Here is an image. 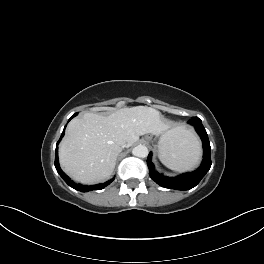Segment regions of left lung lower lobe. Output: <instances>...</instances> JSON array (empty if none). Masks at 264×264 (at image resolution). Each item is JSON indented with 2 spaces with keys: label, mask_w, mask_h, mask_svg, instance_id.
Returning <instances> with one entry per match:
<instances>
[{
  "label": "left lung lower lobe",
  "mask_w": 264,
  "mask_h": 264,
  "mask_svg": "<svg viewBox=\"0 0 264 264\" xmlns=\"http://www.w3.org/2000/svg\"><path fill=\"white\" fill-rule=\"evenodd\" d=\"M188 122L195 127L197 133L201 137L204 150L203 161L200 167L193 172L185 173L176 177H166L155 171L154 165L151 162L152 155L150 153L147 158V165L150 170L149 174L151 179H153V181H155L161 187L182 191L189 190L200 182V180L211 167L210 142L201 120L198 117H192V119Z\"/></svg>",
  "instance_id": "0a47b994"
}]
</instances>
